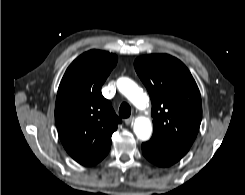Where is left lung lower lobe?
<instances>
[{
	"mask_svg": "<svg viewBox=\"0 0 245 195\" xmlns=\"http://www.w3.org/2000/svg\"><path fill=\"white\" fill-rule=\"evenodd\" d=\"M189 149V146L156 135L142 144L145 158L160 167H168L178 162Z\"/></svg>",
	"mask_w": 245,
	"mask_h": 195,
	"instance_id": "left-lung-lower-lobe-1",
	"label": "left lung lower lobe"
}]
</instances>
